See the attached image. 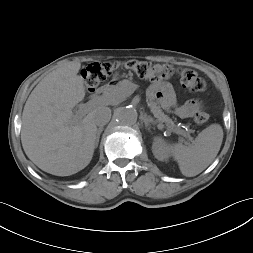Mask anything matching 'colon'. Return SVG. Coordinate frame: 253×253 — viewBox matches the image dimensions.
Wrapping results in <instances>:
<instances>
[{
	"mask_svg": "<svg viewBox=\"0 0 253 253\" xmlns=\"http://www.w3.org/2000/svg\"><path fill=\"white\" fill-rule=\"evenodd\" d=\"M120 68L131 70L140 78L153 81L178 77L183 87L191 93H200L206 89L205 80L194 70L176 68L169 64H154L141 60L89 64L82 70V76L87 89L93 91L101 82L105 81L114 71ZM208 118V113L202 108L198 109L193 115V121L197 125L206 123Z\"/></svg>",
	"mask_w": 253,
	"mask_h": 253,
	"instance_id": "colon-1",
	"label": "colon"
}]
</instances>
